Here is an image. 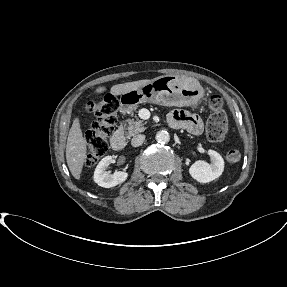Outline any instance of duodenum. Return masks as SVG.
<instances>
[{
    "mask_svg": "<svg viewBox=\"0 0 287 287\" xmlns=\"http://www.w3.org/2000/svg\"><path fill=\"white\" fill-rule=\"evenodd\" d=\"M111 146L116 151H122L126 146L124 134L117 131L111 138Z\"/></svg>",
    "mask_w": 287,
    "mask_h": 287,
    "instance_id": "410a0bca",
    "label": "duodenum"
}]
</instances>
